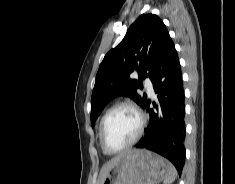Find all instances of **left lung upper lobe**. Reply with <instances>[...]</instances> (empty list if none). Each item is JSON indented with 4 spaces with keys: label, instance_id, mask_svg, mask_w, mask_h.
<instances>
[{
    "label": "left lung upper lobe",
    "instance_id": "left-lung-upper-lobe-1",
    "mask_svg": "<svg viewBox=\"0 0 235 184\" xmlns=\"http://www.w3.org/2000/svg\"><path fill=\"white\" fill-rule=\"evenodd\" d=\"M168 36L166 26L154 14H142L129 27L124 39L105 55L99 66L91 97V124L117 96L131 97L142 107L147 96L139 95L137 89H142L144 78H150L159 49ZM136 73L138 81L130 78Z\"/></svg>",
    "mask_w": 235,
    "mask_h": 184
}]
</instances>
